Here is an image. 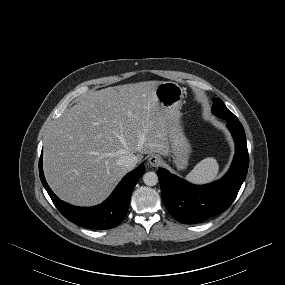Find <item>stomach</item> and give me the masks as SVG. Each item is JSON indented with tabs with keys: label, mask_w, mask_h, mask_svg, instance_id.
Masks as SVG:
<instances>
[{
	"label": "stomach",
	"mask_w": 285,
	"mask_h": 285,
	"mask_svg": "<svg viewBox=\"0 0 285 285\" xmlns=\"http://www.w3.org/2000/svg\"><path fill=\"white\" fill-rule=\"evenodd\" d=\"M184 93V89L175 82H160L156 87L159 105L168 113L169 141L171 152L173 153V161L178 170L187 168L191 153V146L184 135L180 120V108Z\"/></svg>",
	"instance_id": "obj_1"
}]
</instances>
